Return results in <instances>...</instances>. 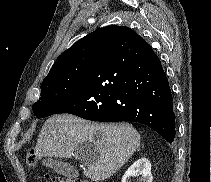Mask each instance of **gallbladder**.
Here are the masks:
<instances>
[{
  "instance_id": "gallbladder-1",
  "label": "gallbladder",
  "mask_w": 211,
  "mask_h": 182,
  "mask_svg": "<svg viewBox=\"0 0 211 182\" xmlns=\"http://www.w3.org/2000/svg\"><path fill=\"white\" fill-rule=\"evenodd\" d=\"M91 148V153L95 155V151L92 145H89ZM86 151V144L83 143L76 149V154L79 159L84 160L83 152ZM43 165L50 167L54 172L63 175L65 177L73 178L76 176V170L69 165L59 159H54L51 157L45 158L43 160Z\"/></svg>"
}]
</instances>
